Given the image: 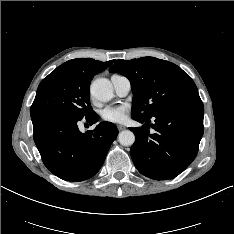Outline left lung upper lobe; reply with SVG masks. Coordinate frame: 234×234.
Returning a JSON list of instances; mask_svg holds the SVG:
<instances>
[{
  "mask_svg": "<svg viewBox=\"0 0 234 234\" xmlns=\"http://www.w3.org/2000/svg\"><path fill=\"white\" fill-rule=\"evenodd\" d=\"M109 71L130 80L132 118L148 119L174 106L200 99L190 76L165 60L154 57L117 60Z\"/></svg>",
  "mask_w": 234,
  "mask_h": 234,
  "instance_id": "obj_1",
  "label": "left lung upper lobe"
}]
</instances>
